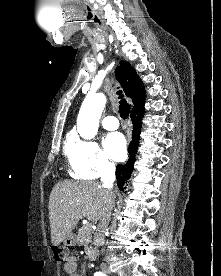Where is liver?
<instances>
[{"label": "liver", "instance_id": "obj_1", "mask_svg": "<svg viewBox=\"0 0 221 276\" xmlns=\"http://www.w3.org/2000/svg\"><path fill=\"white\" fill-rule=\"evenodd\" d=\"M113 193L95 181L57 183L49 198L52 244L59 245L80 219L97 222L103 218Z\"/></svg>", "mask_w": 221, "mask_h": 276}]
</instances>
